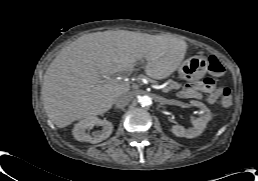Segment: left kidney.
Listing matches in <instances>:
<instances>
[{
	"mask_svg": "<svg viewBox=\"0 0 258 181\" xmlns=\"http://www.w3.org/2000/svg\"><path fill=\"white\" fill-rule=\"evenodd\" d=\"M192 106L199 107L201 116L193 121V127L185 129L183 126H172V133L178 137L194 138L199 136L206 128L207 123L212 119L210 110L199 101H190Z\"/></svg>",
	"mask_w": 258,
	"mask_h": 181,
	"instance_id": "obj_1",
	"label": "left kidney"
}]
</instances>
